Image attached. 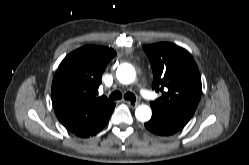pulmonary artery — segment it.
Returning <instances> with one entry per match:
<instances>
[{"label":"pulmonary artery","mask_w":249,"mask_h":165,"mask_svg":"<svg viewBox=\"0 0 249 165\" xmlns=\"http://www.w3.org/2000/svg\"><path fill=\"white\" fill-rule=\"evenodd\" d=\"M140 94L145 100L151 101L154 99V96L151 94V92L144 87L140 89Z\"/></svg>","instance_id":"obj_1"}]
</instances>
